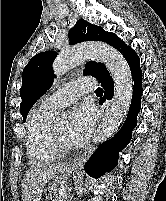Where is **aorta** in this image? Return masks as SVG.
I'll use <instances>...</instances> for the list:
<instances>
[{
  "mask_svg": "<svg viewBox=\"0 0 166 201\" xmlns=\"http://www.w3.org/2000/svg\"><path fill=\"white\" fill-rule=\"evenodd\" d=\"M91 58H97L105 64L115 83L114 100L93 139L98 144L110 138L126 116L132 100V76L123 55L113 47L101 43L78 45L63 50L53 63L54 74L59 78ZM56 115L59 119L66 117L64 112H57Z\"/></svg>",
  "mask_w": 166,
  "mask_h": 201,
  "instance_id": "obj_1",
  "label": "aorta"
}]
</instances>
